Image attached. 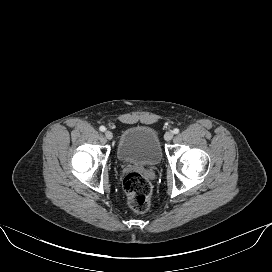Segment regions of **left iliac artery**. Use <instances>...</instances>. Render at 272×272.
<instances>
[{
	"mask_svg": "<svg viewBox=\"0 0 272 272\" xmlns=\"http://www.w3.org/2000/svg\"><path fill=\"white\" fill-rule=\"evenodd\" d=\"M173 133H174V134H178V133H179V129H178V128H175V129L173 130Z\"/></svg>",
	"mask_w": 272,
	"mask_h": 272,
	"instance_id": "1",
	"label": "left iliac artery"
}]
</instances>
